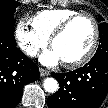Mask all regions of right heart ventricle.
<instances>
[{
  "instance_id": "1",
  "label": "right heart ventricle",
  "mask_w": 108,
  "mask_h": 108,
  "mask_svg": "<svg viewBox=\"0 0 108 108\" xmlns=\"http://www.w3.org/2000/svg\"><path fill=\"white\" fill-rule=\"evenodd\" d=\"M76 13L78 12L67 8L45 9L33 15L30 21L33 29L49 40L55 29L65 19Z\"/></svg>"
}]
</instances>
